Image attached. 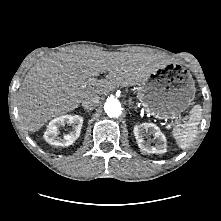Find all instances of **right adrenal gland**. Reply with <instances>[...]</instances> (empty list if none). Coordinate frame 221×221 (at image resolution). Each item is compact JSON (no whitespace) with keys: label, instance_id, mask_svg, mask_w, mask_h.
Listing matches in <instances>:
<instances>
[{"label":"right adrenal gland","instance_id":"right-adrenal-gland-1","mask_svg":"<svg viewBox=\"0 0 221 221\" xmlns=\"http://www.w3.org/2000/svg\"><path fill=\"white\" fill-rule=\"evenodd\" d=\"M85 112H86V113H89L90 111L85 109Z\"/></svg>","mask_w":221,"mask_h":221}]
</instances>
